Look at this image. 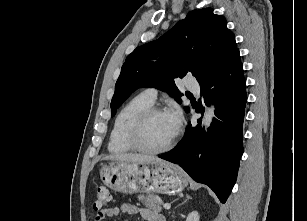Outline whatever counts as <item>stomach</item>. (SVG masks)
<instances>
[{
    "label": "stomach",
    "instance_id": "1",
    "mask_svg": "<svg viewBox=\"0 0 307 221\" xmlns=\"http://www.w3.org/2000/svg\"><path fill=\"white\" fill-rule=\"evenodd\" d=\"M100 176L105 185L125 194H176L188 185L187 177L181 168L166 161H114L102 166Z\"/></svg>",
    "mask_w": 307,
    "mask_h": 221
}]
</instances>
